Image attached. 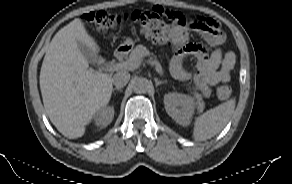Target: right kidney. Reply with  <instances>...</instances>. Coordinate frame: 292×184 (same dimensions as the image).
Listing matches in <instances>:
<instances>
[{
  "instance_id": "right-kidney-1",
  "label": "right kidney",
  "mask_w": 292,
  "mask_h": 184,
  "mask_svg": "<svg viewBox=\"0 0 292 184\" xmlns=\"http://www.w3.org/2000/svg\"><path fill=\"white\" fill-rule=\"evenodd\" d=\"M113 117L114 107H104L95 115L94 123L97 127L105 128L112 122Z\"/></svg>"
}]
</instances>
